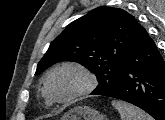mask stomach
Returning <instances> with one entry per match:
<instances>
[{
    "label": "stomach",
    "instance_id": "obj_1",
    "mask_svg": "<svg viewBox=\"0 0 165 120\" xmlns=\"http://www.w3.org/2000/svg\"><path fill=\"white\" fill-rule=\"evenodd\" d=\"M60 120H107V118L89 106H78L65 113Z\"/></svg>",
    "mask_w": 165,
    "mask_h": 120
}]
</instances>
